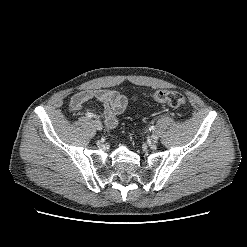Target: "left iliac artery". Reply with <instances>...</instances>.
<instances>
[{
  "label": "left iliac artery",
  "instance_id": "obj_1",
  "mask_svg": "<svg viewBox=\"0 0 247 247\" xmlns=\"http://www.w3.org/2000/svg\"><path fill=\"white\" fill-rule=\"evenodd\" d=\"M154 130H155V126H151L150 131H154Z\"/></svg>",
  "mask_w": 247,
  "mask_h": 247
}]
</instances>
